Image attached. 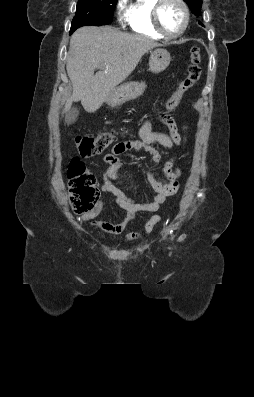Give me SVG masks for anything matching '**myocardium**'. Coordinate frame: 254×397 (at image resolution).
I'll return each mask as SVG.
<instances>
[{"instance_id":"f54148a6","label":"myocardium","mask_w":254,"mask_h":397,"mask_svg":"<svg viewBox=\"0 0 254 397\" xmlns=\"http://www.w3.org/2000/svg\"><path fill=\"white\" fill-rule=\"evenodd\" d=\"M167 1L168 0H157L156 1L155 5L153 6V10H152V21H153L154 28L160 35H162L164 38L176 39L185 33V31L189 25V21H190V12H189V8L184 0H173L174 2L178 3L183 10V15H184L183 24H182L181 29L177 33H174V34L168 33L163 28V26L161 24V20H160L161 9Z\"/></svg>"}]
</instances>
